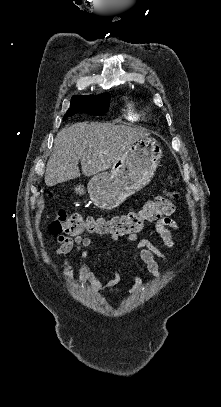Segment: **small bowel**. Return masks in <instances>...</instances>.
Masks as SVG:
<instances>
[{
  "label": "small bowel",
  "mask_w": 221,
  "mask_h": 407,
  "mask_svg": "<svg viewBox=\"0 0 221 407\" xmlns=\"http://www.w3.org/2000/svg\"><path fill=\"white\" fill-rule=\"evenodd\" d=\"M154 229L164 246L170 250H175L176 243L170 229L179 230V223L168 216L158 220L155 223ZM109 239L111 241H117L118 237L110 236ZM56 240L58 242V247L54 250V255H70L66 261V264H69L73 257L79 256L81 259L77 277H73L71 272L68 270V283L74 286L89 284L91 291L94 294L117 286L120 280L119 274L116 271L108 268H106V272L110 274L112 278L106 282H101L99 280L97 276L98 266L93 255L94 244L90 238L81 236H77L75 238L59 236L56 238ZM128 241L136 243V248L141 262L151 274L152 281H158L161 276V267L158 260L165 264L167 262L166 256L149 240L140 239L137 234H130L128 236ZM89 259H92L91 263H88ZM52 269L54 271L56 270L55 265H52ZM141 283L142 278L138 275L133 287L127 292L131 293L135 291L141 285Z\"/></svg>",
  "instance_id": "small-bowel-1"
}]
</instances>
